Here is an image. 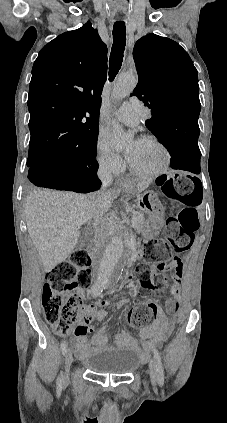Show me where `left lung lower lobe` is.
<instances>
[{"instance_id":"0a47b994","label":"left lung lower lobe","mask_w":227,"mask_h":423,"mask_svg":"<svg viewBox=\"0 0 227 423\" xmlns=\"http://www.w3.org/2000/svg\"><path fill=\"white\" fill-rule=\"evenodd\" d=\"M198 137L199 129H190L183 134L160 139L171 155L173 169L200 173L201 152L198 147Z\"/></svg>"}]
</instances>
